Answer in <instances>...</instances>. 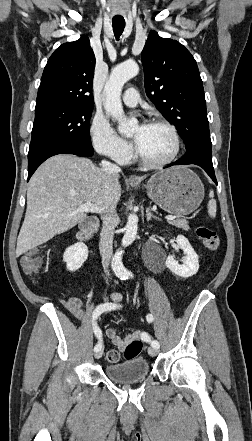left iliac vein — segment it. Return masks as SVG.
<instances>
[{
	"label": "left iliac vein",
	"instance_id": "obj_1",
	"mask_svg": "<svg viewBox=\"0 0 252 441\" xmlns=\"http://www.w3.org/2000/svg\"><path fill=\"white\" fill-rule=\"evenodd\" d=\"M148 353H149L150 356H156L158 354V349L154 348V347H150L148 349Z\"/></svg>",
	"mask_w": 252,
	"mask_h": 441
}]
</instances>
